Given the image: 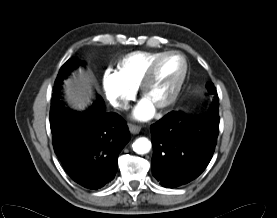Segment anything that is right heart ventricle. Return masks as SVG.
<instances>
[{
	"instance_id": "e07e8e85",
	"label": "right heart ventricle",
	"mask_w": 277,
	"mask_h": 218,
	"mask_svg": "<svg viewBox=\"0 0 277 218\" xmlns=\"http://www.w3.org/2000/svg\"><path fill=\"white\" fill-rule=\"evenodd\" d=\"M162 52H132L123 57L118 66L121 78L133 88H137L153 59Z\"/></svg>"
}]
</instances>
